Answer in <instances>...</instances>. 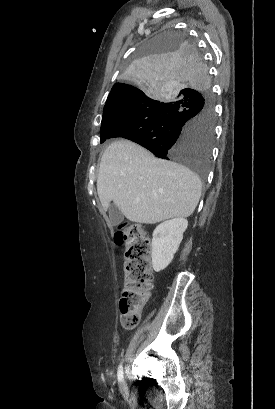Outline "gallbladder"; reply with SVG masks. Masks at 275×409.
Wrapping results in <instances>:
<instances>
[{
  "label": "gallbladder",
  "mask_w": 275,
  "mask_h": 409,
  "mask_svg": "<svg viewBox=\"0 0 275 409\" xmlns=\"http://www.w3.org/2000/svg\"><path fill=\"white\" fill-rule=\"evenodd\" d=\"M108 211L112 227H117V225H120L124 219V215L121 213V211H119L118 207L114 205V202H111L110 207H108Z\"/></svg>",
  "instance_id": "obj_1"
}]
</instances>
